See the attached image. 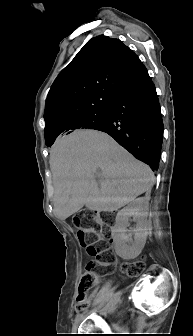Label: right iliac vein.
Listing matches in <instances>:
<instances>
[{"mask_svg":"<svg viewBox=\"0 0 193 336\" xmlns=\"http://www.w3.org/2000/svg\"><path fill=\"white\" fill-rule=\"evenodd\" d=\"M83 318H84V315L81 314V315H79V316L75 319V322H74V324H73V326H72V330H73V331H75V330L77 329L78 325H79L80 322L83 320Z\"/></svg>","mask_w":193,"mask_h":336,"instance_id":"63e3f726","label":"right iliac vein"}]
</instances>
